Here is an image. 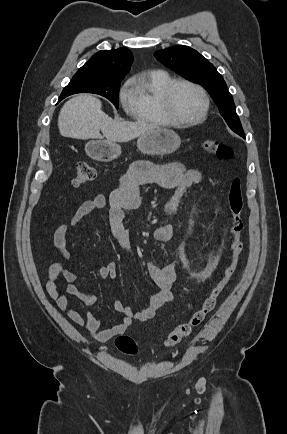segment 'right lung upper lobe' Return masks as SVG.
<instances>
[{
  "mask_svg": "<svg viewBox=\"0 0 287 434\" xmlns=\"http://www.w3.org/2000/svg\"><path fill=\"white\" fill-rule=\"evenodd\" d=\"M133 62L132 53L127 48L102 50L94 54L76 73L87 77L123 79Z\"/></svg>",
  "mask_w": 287,
  "mask_h": 434,
  "instance_id": "1",
  "label": "right lung upper lobe"
}]
</instances>
